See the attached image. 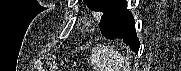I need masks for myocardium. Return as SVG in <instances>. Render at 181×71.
Returning <instances> with one entry per match:
<instances>
[{"label":"myocardium","mask_w":181,"mask_h":71,"mask_svg":"<svg viewBox=\"0 0 181 71\" xmlns=\"http://www.w3.org/2000/svg\"><path fill=\"white\" fill-rule=\"evenodd\" d=\"M90 25H91V22H88V23H87V26H90Z\"/></svg>","instance_id":"1"}]
</instances>
